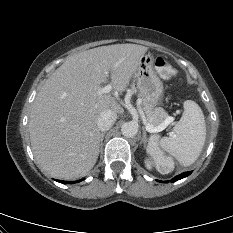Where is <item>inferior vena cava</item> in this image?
I'll return each mask as SVG.
<instances>
[{
	"label": "inferior vena cava",
	"mask_w": 233,
	"mask_h": 233,
	"mask_svg": "<svg viewBox=\"0 0 233 233\" xmlns=\"http://www.w3.org/2000/svg\"><path fill=\"white\" fill-rule=\"evenodd\" d=\"M117 119L116 113L111 110H104L101 112L97 120V126L100 131L105 132L109 130Z\"/></svg>",
	"instance_id": "602c4592"
}]
</instances>
